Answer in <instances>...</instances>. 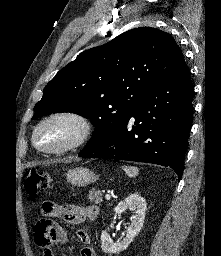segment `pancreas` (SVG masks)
<instances>
[{
    "instance_id": "obj_1",
    "label": "pancreas",
    "mask_w": 221,
    "mask_h": 256,
    "mask_svg": "<svg viewBox=\"0 0 221 256\" xmlns=\"http://www.w3.org/2000/svg\"><path fill=\"white\" fill-rule=\"evenodd\" d=\"M90 203L99 204L102 202V194L98 190H90L89 195L87 196Z\"/></svg>"
}]
</instances>
